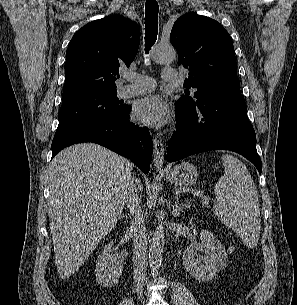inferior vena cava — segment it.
Here are the masks:
<instances>
[{
  "mask_svg": "<svg viewBox=\"0 0 297 305\" xmlns=\"http://www.w3.org/2000/svg\"><path fill=\"white\" fill-rule=\"evenodd\" d=\"M125 202L133 216L130 225L134 244L133 278L137 294L141 295L143 291V280L147 269V234L134 179L128 185Z\"/></svg>",
  "mask_w": 297,
  "mask_h": 305,
  "instance_id": "1",
  "label": "inferior vena cava"
}]
</instances>
